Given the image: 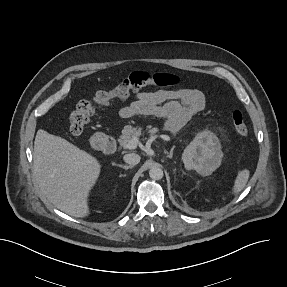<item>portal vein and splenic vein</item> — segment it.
Segmentation results:
<instances>
[{"mask_svg": "<svg viewBox=\"0 0 287 287\" xmlns=\"http://www.w3.org/2000/svg\"><path fill=\"white\" fill-rule=\"evenodd\" d=\"M160 138H162L163 140L165 141H170V137L168 135H165V134H161L159 135ZM139 143V139L138 137H133L127 144H126V147L127 149H135L137 147Z\"/></svg>", "mask_w": 287, "mask_h": 287, "instance_id": "18ae733b", "label": "portal vein and splenic vein"}]
</instances>
